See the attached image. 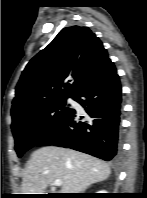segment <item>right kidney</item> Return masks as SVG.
<instances>
[{
	"label": "right kidney",
	"instance_id": "1",
	"mask_svg": "<svg viewBox=\"0 0 147 198\" xmlns=\"http://www.w3.org/2000/svg\"><path fill=\"white\" fill-rule=\"evenodd\" d=\"M97 193H107V191H98Z\"/></svg>",
	"mask_w": 147,
	"mask_h": 198
}]
</instances>
